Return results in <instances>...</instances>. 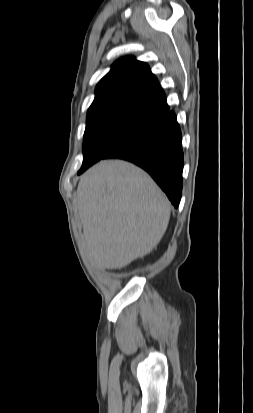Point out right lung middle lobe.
Here are the masks:
<instances>
[{"instance_id": "obj_1", "label": "right lung middle lobe", "mask_w": 253, "mask_h": 413, "mask_svg": "<svg viewBox=\"0 0 253 413\" xmlns=\"http://www.w3.org/2000/svg\"><path fill=\"white\" fill-rule=\"evenodd\" d=\"M161 118L137 111L116 109L87 115L83 137L85 171L109 153L155 126Z\"/></svg>"}]
</instances>
